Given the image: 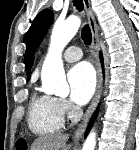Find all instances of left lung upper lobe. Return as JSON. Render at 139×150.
<instances>
[{
  "mask_svg": "<svg viewBox=\"0 0 139 150\" xmlns=\"http://www.w3.org/2000/svg\"><path fill=\"white\" fill-rule=\"evenodd\" d=\"M53 22V13L49 9L42 10L34 19L26 36L25 69L29 79L32 56Z\"/></svg>",
  "mask_w": 139,
  "mask_h": 150,
  "instance_id": "1",
  "label": "left lung upper lobe"
}]
</instances>
